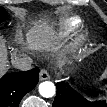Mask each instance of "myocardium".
I'll use <instances>...</instances> for the list:
<instances>
[{"instance_id":"obj_1","label":"myocardium","mask_w":107,"mask_h":107,"mask_svg":"<svg viewBox=\"0 0 107 107\" xmlns=\"http://www.w3.org/2000/svg\"><path fill=\"white\" fill-rule=\"evenodd\" d=\"M83 41V36H80L77 40L76 43L74 45L75 48H78L80 43Z\"/></svg>"}]
</instances>
